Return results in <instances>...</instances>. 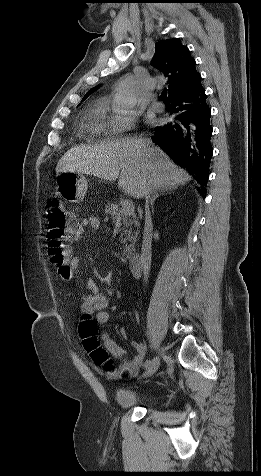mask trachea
<instances>
[{"mask_svg": "<svg viewBox=\"0 0 261 476\" xmlns=\"http://www.w3.org/2000/svg\"><path fill=\"white\" fill-rule=\"evenodd\" d=\"M161 99H162L163 102H167V101H168L166 90H164V91L161 93Z\"/></svg>", "mask_w": 261, "mask_h": 476, "instance_id": "3493384b", "label": "trachea"}]
</instances>
